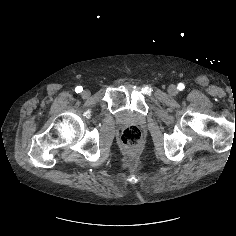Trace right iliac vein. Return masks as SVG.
Masks as SVG:
<instances>
[{
  "label": "right iliac vein",
  "instance_id": "1",
  "mask_svg": "<svg viewBox=\"0 0 236 236\" xmlns=\"http://www.w3.org/2000/svg\"><path fill=\"white\" fill-rule=\"evenodd\" d=\"M81 95L82 98L87 99L91 95V93L89 90H84Z\"/></svg>",
  "mask_w": 236,
  "mask_h": 236
}]
</instances>
